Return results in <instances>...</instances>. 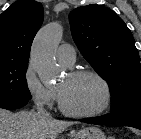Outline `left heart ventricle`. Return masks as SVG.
Listing matches in <instances>:
<instances>
[{"label": "left heart ventricle", "mask_w": 141, "mask_h": 139, "mask_svg": "<svg viewBox=\"0 0 141 139\" xmlns=\"http://www.w3.org/2000/svg\"><path fill=\"white\" fill-rule=\"evenodd\" d=\"M71 110L92 112L104 103L105 92L101 83L90 76L71 78L67 75L57 86Z\"/></svg>", "instance_id": "1"}]
</instances>
